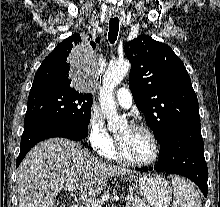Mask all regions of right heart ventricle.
<instances>
[{
    "instance_id": "e07e8e85",
    "label": "right heart ventricle",
    "mask_w": 220,
    "mask_h": 207,
    "mask_svg": "<svg viewBox=\"0 0 220 207\" xmlns=\"http://www.w3.org/2000/svg\"><path fill=\"white\" fill-rule=\"evenodd\" d=\"M102 155L105 156L106 158H109V159H116L114 147L112 149L106 151Z\"/></svg>"
}]
</instances>
